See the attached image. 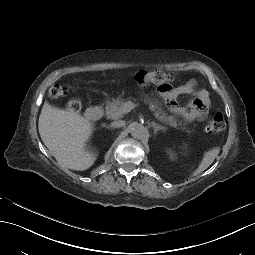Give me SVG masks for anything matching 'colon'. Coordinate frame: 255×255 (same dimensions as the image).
<instances>
[{"instance_id":"5ec220e1","label":"colon","mask_w":255,"mask_h":255,"mask_svg":"<svg viewBox=\"0 0 255 255\" xmlns=\"http://www.w3.org/2000/svg\"><path fill=\"white\" fill-rule=\"evenodd\" d=\"M135 80L140 85L154 84L161 90H168L170 83L174 80L172 73H167L159 70H141L135 74ZM66 90L59 84L53 85L49 90V95L52 98H60L65 96ZM67 107L72 112H78L81 109V102L77 99L69 100ZM226 126L225 119L222 113H215L207 122L206 130L209 132H220Z\"/></svg>"}]
</instances>
